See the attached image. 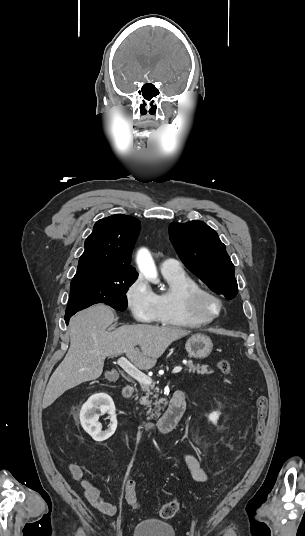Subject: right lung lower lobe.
<instances>
[{
  "label": "right lung lower lobe",
  "mask_w": 305,
  "mask_h": 536,
  "mask_svg": "<svg viewBox=\"0 0 305 536\" xmlns=\"http://www.w3.org/2000/svg\"><path fill=\"white\" fill-rule=\"evenodd\" d=\"M76 312L78 311L66 312V315H65L66 324H68L70 317L73 316Z\"/></svg>",
  "instance_id": "1"
}]
</instances>
